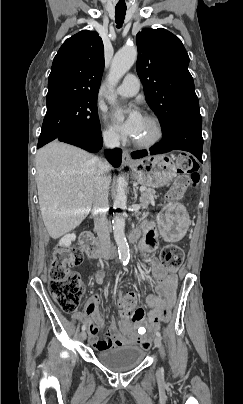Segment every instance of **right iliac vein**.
Returning <instances> with one entry per match:
<instances>
[{
  "mask_svg": "<svg viewBox=\"0 0 243 404\" xmlns=\"http://www.w3.org/2000/svg\"><path fill=\"white\" fill-rule=\"evenodd\" d=\"M80 336H81V339H82V340H85L86 337H87V334H86L85 331H82L81 334H80Z\"/></svg>",
  "mask_w": 243,
  "mask_h": 404,
  "instance_id": "right-iliac-vein-1",
  "label": "right iliac vein"
}]
</instances>
